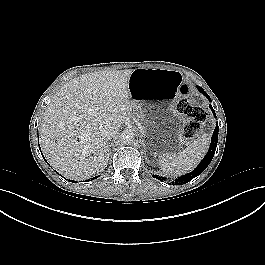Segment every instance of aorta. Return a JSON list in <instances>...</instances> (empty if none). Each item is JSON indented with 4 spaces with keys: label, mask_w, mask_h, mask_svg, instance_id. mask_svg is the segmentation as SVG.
Segmentation results:
<instances>
[{
    "label": "aorta",
    "mask_w": 265,
    "mask_h": 265,
    "mask_svg": "<svg viewBox=\"0 0 265 265\" xmlns=\"http://www.w3.org/2000/svg\"><path fill=\"white\" fill-rule=\"evenodd\" d=\"M135 134L132 131H124L120 138L123 143L130 144L134 140Z\"/></svg>",
    "instance_id": "aorta-1"
}]
</instances>
